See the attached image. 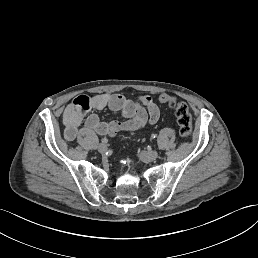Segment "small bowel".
<instances>
[{
	"instance_id": "c3829d8e",
	"label": "small bowel",
	"mask_w": 258,
	"mask_h": 258,
	"mask_svg": "<svg viewBox=\"0 0 258 258\" xmlns=\"http://www.w3.org/2000/svg\"><path fill=\"white\" fill-rule=\"evenodd\" d=\"M110 109L119 112L122 119L105 122L93 111ZM160 117V110L155 100L148 95L127 99L121 94L97 93L76 96L63 111L64 136L74 140L81 124L86 131L98 135L115 136L122 131L133 132L147 124H155Z\"/></svg>"
}]
</instances>
